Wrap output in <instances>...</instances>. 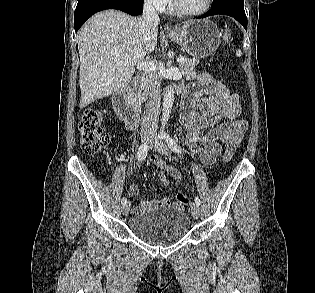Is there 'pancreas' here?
<instances>
[{
  "label": "pancreas",
  "instance_id": "1",
  "mask_svg": "<svg viewBox=\"0 0 315 293\" xmlns=\"http://www.w3.org/2000/svg\"><path fill=\"white\" fill-rule=\"evenodd\" d=\"M198 61L195 59L185 58L183 63L179 64V69L187 80L193 79L196 77L197 73L195 71V67L197 66ZM150 76L154 78H159L155 73H149ZM146 96V79L143 78L138 87L136 88L135 92L131 94V102L134 105H140Z\"/></svg>",
  "mask_w": 315,
  "mask_h": 293
}]
</instances>
